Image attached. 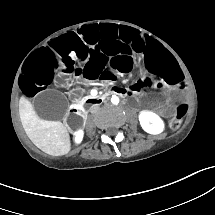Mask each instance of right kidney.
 Returning <instances> with one entry per match:
<instances>
[{"instance_id":"obj_1","label":"right kidney","mask_w":215,"mask_h":215,"mask_svg":"<svg viewBox=\"0 0 215 215\" xmlns=\"http://www.w3.org/2000/svg\"><path fill=\"white\" fill-rule=\"evenodd\" d=\"M81 139H82V132H81V131H78V132H77V135H76V140H77V141H81Z\"/></svg>"}]
</instances>
